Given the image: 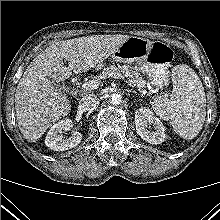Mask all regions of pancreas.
<instances>
[{"label":"pancreas","mask_w":220,"mask_h":220,"mask_svg":"<svg viewBox=\"0 0 220 220\" xmlns=\"http://www.w3.org/2000/svg\"><path fill=\"white\" fill-rule=\"evenodd\" d=\"M113 72L123 73L127 78L126 82L128 83V85L132 87L143 88L146 84V81L143 80L142 76L136 69L126 65H112L110 67L104 68L102 73L94 78L98 81H101L102 79H105L108 76V74Z\"/></svg>","instance_id":"1"}]
</instances>
